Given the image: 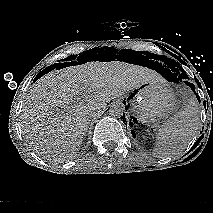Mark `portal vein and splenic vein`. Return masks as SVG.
<instances>
[{"instance_id": "obj_1", "label": "portal vein and splenic vein", "mask_w": 213, "mask_h": 213, "mask_svg": "<svg viewBox=\"0 0 213 213\" xmlns=\"http://www.w3.org/2000/svg\"><path fill=\"white\" fill-rule=\"evenodd\" d=\"M83 96H84V97H90V93H89V92H86V93L83 94Z\"/></svg>"}]
</instances>
